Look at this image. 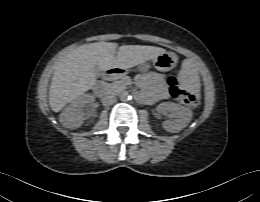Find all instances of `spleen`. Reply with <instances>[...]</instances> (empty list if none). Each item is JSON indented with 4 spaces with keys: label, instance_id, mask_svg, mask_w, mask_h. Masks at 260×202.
I'll list each match as a JSON object with an SVG mask.
<instances>
[{
    "label": "spleen",
    "instance_id": "3e777b00",
    "mask_svg": "<svg viewBox=\"0 0 260 202\" xmlns=\"http://www.w3.org/2000/svg\"><path fill=\"white\" fill-rule=\"evenodd\" d=\"M180 79L186 88L195 92L199 90V77L197 73L189 66L185 65L183 67L180 72Z\"/></svg>",
    "mask_w": 260,
    "mask_h": 202
}]
</instances>
